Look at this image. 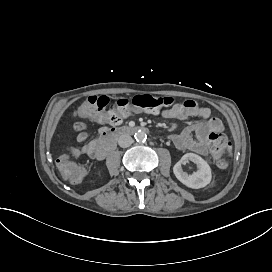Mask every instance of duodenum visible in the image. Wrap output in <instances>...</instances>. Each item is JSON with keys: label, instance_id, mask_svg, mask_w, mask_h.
<instances>
[{"label": "duodenum", "instance_id": "1", "mask_svg": "<svg viewBox=\"0 0 272 272\" xmlns=\"http://www.w3.org/2000/svg\"><path fill=\"white\" fill-rule=\"evenodd\" d=\"M143 127L135 126V127H119V128H111L104 129L100 132L98 137V146L96 149V158L102 160L106 157V155L111 152L118 138L124 135H131L136 133L139 130H143Z\"/></svg>", "mask_w": 272, "mask_h": 272}]
</instances>
